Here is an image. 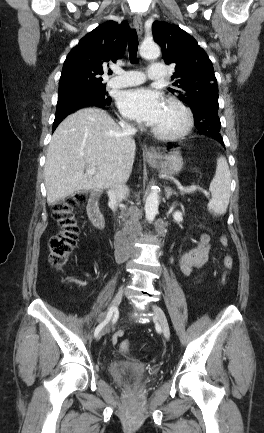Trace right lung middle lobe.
Segmentation results:
<instances>
[{
  "label": "right lung middle lobe",
  "mask_w": 264,
  "mask_h": 433,
  "mask_svg": "<svg viewBox=\"0 0 264 433\" xmlns=\"http://www.w3.org/2000/svg\"><path fill=\"white\" fill-rule=\"evenodd\" d=\"M95 98L101 101L110 102L111 98L105 92V85H91V86H76L70 87L64 91L59 92L58 102L56 109V117L64 114L68 105L78 100H85Z\"/></svg>",
  "instance_id": "right-lung-middle-lobe-1"
}]
</instances>
